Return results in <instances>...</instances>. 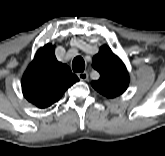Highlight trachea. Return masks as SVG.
Instances as JSON below:
<instances>
[{
    "label": "trachea",
    "mask_w": 165,
    "mask_h": 156,
    "mask_svg": "<svg viewBox=\"0 0 165 156\" xmlns=\"http://www.w3.org/2000/svg\"><path fill=\"white\" fill-rule=\"evenodd\" d=\"M72 69L74 72H83L85 69V61L81 56H77L73 59Z\"/></svg>",
    "instance_id": "1"
}]
</instances>
